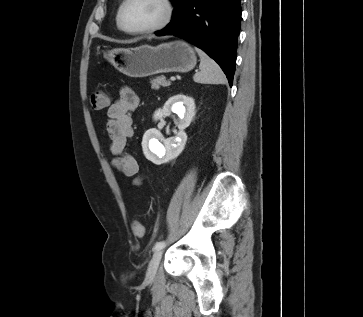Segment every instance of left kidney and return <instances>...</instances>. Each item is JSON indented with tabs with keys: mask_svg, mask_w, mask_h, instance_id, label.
Instances as JSON below:
<instances>
[{
	"mask_svg": "<svg viewBox=\"0 0 363 317\" xmlns=\"http://www.w3.org/2000/svg\"><path fill=\"white\" fill-rule=\"evenodd\" d=\"M172 113H176L179 117L178 119L174 118V122L179 128L175 137L164 139L160 131L155 128L147 130L143 136V153L148 160L157 165L173 160L183 151L187 141L184 130L195 116L194 99L183 94L172 96L162 109L154 112L153 119L157 121L164 116H170Z\"/></svg>",
	"mask_w": 363,
	"mask_h": 317,
	"instance_id": "obj_1",
	"label": "left kidney"
}]
</instances>
